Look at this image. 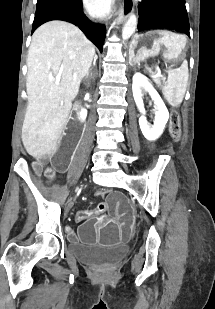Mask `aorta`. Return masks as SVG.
<instances>
[{"label": "aorta", "instance_id": "aorta-1", "mask_svg": "<svg viewBox=\"0 0 215 309\" xmlns=\"http://www.w3.org/2000/svg\"><path fill=\"white\" fill-rule=\"evenodd\" d=\"M136 26H137L136 14H130L127 22H125L122 28V38H124V40L130 38L131 34L135 32Z\"/></svg>", "mask_w": 215, "mask_h": 309}]
</instances>
